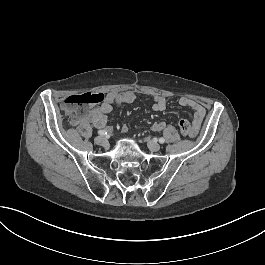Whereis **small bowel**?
I'll return each instance as SVG.
<instances>
[{"label":"small bowel","mask_w":265,"mask_h":265,"mask_svg":"<svg viewBox=\"0 0 265 265\" xmlns=\"http://www.w3.org/2000/svg\"><path fill=\"white\" fill-rule=\"evenodd\" d=\"M136 100L135 93L131 91L117 92L111 91L106 94L104 101L96 107L84 108L81 110L80 117L77 119L73 118L72 122L75 125H79L80 127H86L92 124L94 127L98 129H103L107 127V118L109 113L112 111L113 106H122L124 104L133 103ZM179 104L182 107L188 108L193 111V116L191 118V126H192V137L196 136L199 132V129L202 125L203 119L205 117V108L198 101L189 98V97H181L179 99ZM166 108V97L163 95H156L154 97L153 110L156 112H162ZM165 128L164 122H155L152 126L154 131H160ZM122 133H126L128 128L126 125H123L121 128Z\"/></svg>","instance_id":"c3829d8e"}]
</instances>
